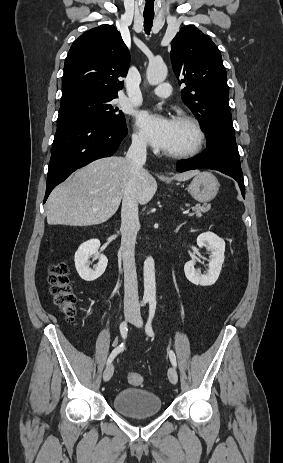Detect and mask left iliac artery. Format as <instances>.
<instances>
[{
    "label": "left iliac artery",
    "mask_w": 283,
    "mask_h": 463,
    "mask_svg": "<svg viewBox=\"0 0 283 463\" xmlns=\"http://www.w3.org/2000/svg\"><path fill=\"white\" fill-rule=\"evenodd\" d=\"M155 310H156V300L151 299L149 301V317H148V320H147V323H146V326H145L146 333L151 337L154 336V332H153V329H152V320L154 318ZM169 357H170V361H171L172 365L174 367H176V365H177L176 356H175V354H174V352L172 350L169 351Z\"/></svg>",
    "instance_id": "44dca946"
}]
</instances>
